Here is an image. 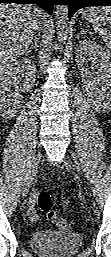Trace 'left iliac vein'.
Wrapping results in <instances>:
<instances>
[{
  "mask_svg": "<svg viewBox=\"0 0 111 257\" xmlns=\"http://www.w3.org/2000/svg\"><path fill=\"white\" fill-rule=\"evenodd\" d=\"M76 170H77V172H80V168L79 167H77Z\"/></svg>",
  "mask_w": 111,
  "mask_h": 257,
  "instance_id": "1",
  "label": "left iliac vein"
}]
</instances>
